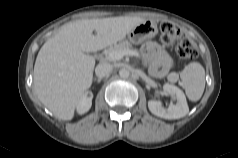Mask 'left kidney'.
<instances>
[{"mask_svg": "<svg viewBox=\"0 0 238 158\" xmlns=\"http://www.w3.org/2000/svg\"><path fill=\"white\" fill-rule=\"evenodd\" d=\"M163 90L176 100V104L171 103L168 108H164L160 101L150 100L148 101L150 112L164 119H179L186 116L189 112V107L183 91L177 86L168 83L164 84Z\"/></svg>", "mask_w": 238, "mask_h": 158, "instance_id": "obj_1", "label": "left kidney"}]
</instances>
